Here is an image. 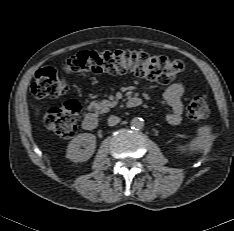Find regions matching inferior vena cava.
Masks as SVG:
<instances>
[{
    "mask_svg": "<svg viewBox=\"0 0 234 231\" xmlns=\"http://www.w3.org/2000/svg\"><path fill=\"white\" fill-rule=\"evenodd\" d=\"M119 122H120V118L117 117V116L111 115V116L108 118V125H109V126H115V125H117Z\"/></svg>",
    "mask_w": 234,
    "mask_h": 231,
    "instance_id": "1",
    "label": "inferior vena cava"
}]
</instances>
